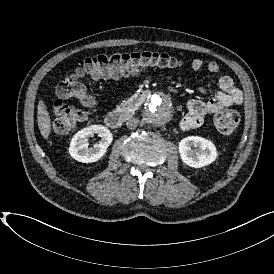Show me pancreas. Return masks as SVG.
<instances>
[{"mask_svg": "<svg viewBox=\"0 0 274 274\" xmlns=\"http://www.w3.org/2000/svg\"><path fill=\"white\" fill-rule=\"evenodd\" d=\"M129 104H130V107L132 108V109H137L138 108V106H137V104L135 103V102H131V101H129Z\"/></svg>", "mask_w": 274, "mask_h": 274, "instance_id": "obj_1", "label": "pancreas"}]
</instances>
